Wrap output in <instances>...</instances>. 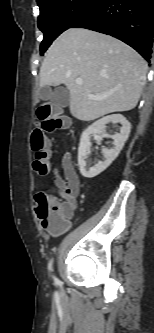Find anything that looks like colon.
I'll list each match as a JSON object with an SVG mask.
<instances>
[{
  "mask_svg": "<svg viewBox=\"0 0 154 333\" xmlns=\"http://www.w3.org/2000/svg\"><path fill=\"white\" fill-rule=\"evenodd\" d=\"M39 123L31 134V148L35 153L33 168L40 175H46L50 168L49 139L47 133L65 129L69 121L60 115L52 114L47 106L37 108ZM35 213L44 230L56 234L66 229L68 214L63 205L51 193L41 192L35 196Z\"/></svg>",
  "mask_w": 154,
  "mask_h": 333,
  "instance_id": "colon-1",
  "label": "colon"
}]
</instances>
